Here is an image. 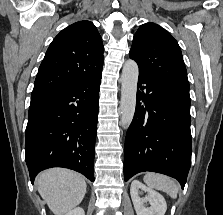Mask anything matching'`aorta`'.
Segmentation results:
<instances>
[{"label": "aorta", "mask_w": 223, "mask_h": 215, "mask_svg": "<svg viewBox=\"0 0 223 215\" xmlns=\"http://www.w3.org/2000/svg\"><path fill=\"white\" fill-rule=\"evenodd\" d=\"M139 68L134 60H126L122 70L121 86V125L129 127L136 106Z\"/></svg>", "instance_id": "obj_1"}]
</instances>
